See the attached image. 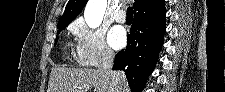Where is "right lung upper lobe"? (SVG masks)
Returning a JSON list of instances; mask_svg holds the SVG:
<instances>
[{"instance_id":"cb5924a9","label":"right lung upper lobe","mask_w":225,"mask_h":92,"mask_svg":"<svg viewBox=\"0 0 225 92\" xmlns=\"http://www.w3.org/2000/svg\"><path fill=\"white\" fill-rule=\"evenodd\" d=\"M87 0H69L58 23H71L83 10ZM134 18L150 17L165 11L164 0H135Z\"/></svg>"}]
</instances>
